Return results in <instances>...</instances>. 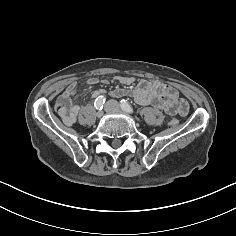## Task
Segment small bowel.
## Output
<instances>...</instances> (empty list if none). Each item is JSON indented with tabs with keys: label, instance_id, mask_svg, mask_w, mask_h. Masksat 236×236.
Masks as SVG:
<instances>
[{
	"label": "small bowel",
	"instance_id": "small-bowel-1",
	"mask_svg": "<svg viewBox=\"0 0 236 236\" xmlns=\"http://www.w3.org/2000/svg\"><path fill=\"white\" fill-rule=\"evenodd\" d=\"M114 81L122 87L113 91L116 97L131 96L139 105H150L157 109L163 110L169 115L184 116L188 113V103L179 97L178 92L161 81L137 79L130 76H117ZM97 78H89L86 82L87 88H91L98 83ZM108 84L109 81H103ZM135 85L134 88H129ZM87 88L79 89L76 82H71L66 89L59 95L56 107L64 124L72 125L79 114V102L87 91ZM101 89H95L93 96L102 94Z\"/></svg>",
	"mask_w": 236,
	"mask_h": 236
}]
</instances>
